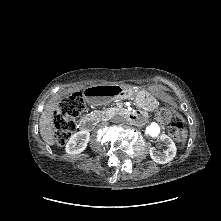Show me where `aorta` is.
Masks as SVG:
<instances>
[{
    "instance_id": "aorta-1",
    "label": "aorta",
    "mask_w": 221,
    "mask_h": 221,
    "mask_svg": "<svg viewBox=\"0 0 221 221\" xmlns=\"http://www.w3.org/2000/svg\"><path fill=\"white\" fill-rule=\"evenodd\" d=\"M146 132L150 136L155 137L159 134L160 128L156 123H153L146 128Z\"/></svg>"
}]
</instances>
